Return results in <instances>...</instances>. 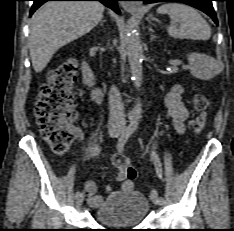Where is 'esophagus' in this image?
<instances>
[{"instance_id": "1", "label": "esophagus", "mask_w": 234, "mask_h": 231, "mask_svg": "<svg viewBox=\"0 0 234 231\" xmlns=\"http://www.w3.org/2000/svg\"><path fill=\"white\" fill-rule=\"evenodd\" d=\"M139 6L135 5V4H126L124 5V9L126 11H135Z\"/></svg>"}]
</instances>
